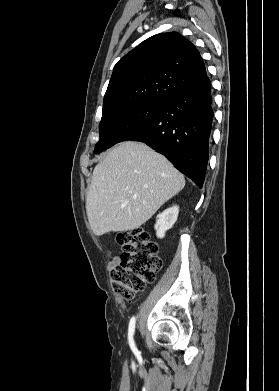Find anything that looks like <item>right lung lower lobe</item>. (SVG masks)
<instances>
[{"mask_svg": "<svg viewBox=\"0 0 279 391\" xmlns=\"http://www.w3.org/2000/svg\"><path fill=\"white\" fill-rule=\"evenodd\" d=\"M213 115L211 83L206 75L164 102L152 121L134 130L123 141L146 143L202 188Z\"/></svg>", "mask_w": 279, "mask_h": 391, "instance_id": "obj_1", "label": "right lung lower lobe"}]
</instances>
